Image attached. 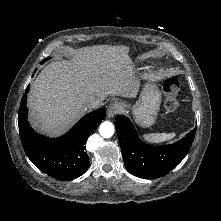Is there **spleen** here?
Returning a JSON list of instances; mask_svg holds the SVG:
<instances>
[{
  "label": "spleen",
  "mask_w": 221,
  "mask_h": 221,
  "mask_svg": "<svg viewBox=\"0 0 221 221\" xmlns=\"http://www.w3.org/2000/svg\"><path fill=\"white\" fill-rule=\"evenodd\" d=\"M175 133H151L143 135V138L150 143H161L175 137Z\"/></svg>",
  "instance_id": "3e777b00"
}]
</instances>
